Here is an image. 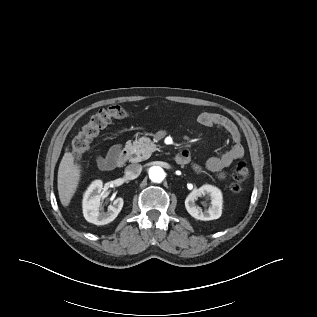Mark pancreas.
<instances>
[{
	"instance_id": "pancreas-1",
	"label": "pancreas",
	"mask_w": 317,
	"mask_h": 317,
	"mask_svg": "<svg viewBox=\"0 0 317 317\" xmlns=\"http://www.w3.org/2000/svg\"><path fill=\"white\" fill-rule=\"evenodd\" d=\"M126 148L129 151V159L132 162L146 160L155 150H157L156 145L148 137H141L133 143L128 141Z\"/></svg>"
}]
</instances>
